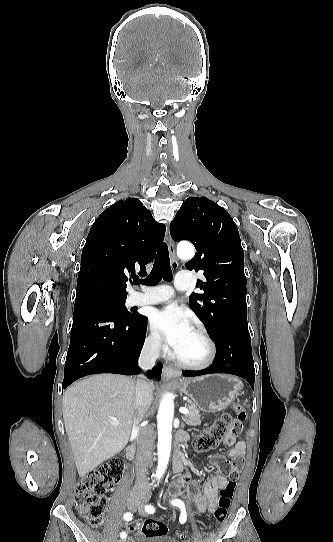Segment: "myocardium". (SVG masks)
<instances>
[{
  "label": "myocardium",
  "mask_w": 333,
  "mask_h": 542,
  "mask_svg": "<svg viewBox=\"0 0 333 542\" xmlns=\"http://www.w3.org/2000/svg\"><path fill=\"white\" fill-rule=\"evenodd\" d=\"M195 332L201 337V339L205 342L208 350L207 357L202 362L197 363H191L186 362L183 360L178 359L175 357L170 351H168V357L169 359L175 363L177 366L188 369V370H204L209 368L216 359L217 349L215 342L213 341L212 337L209 335V333L205 330L202 326H196L194 328Z\"/></svg>",
  "instance_id": "myocardium-1"
}]
</instances>
